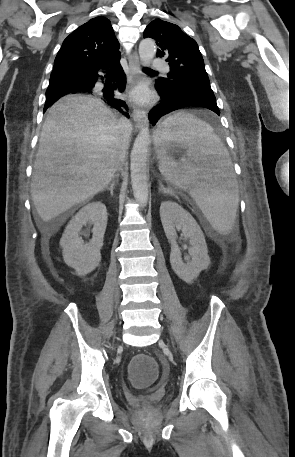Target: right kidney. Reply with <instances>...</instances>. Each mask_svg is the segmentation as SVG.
Listing matches in <instances>:
<instances>
[{
  "mask_svg": "<svg viewBox=\"0 0 295 457\" xmlns=\"http://www.w3.org/2000/svg\"><path fill=\"white\" fill-rule=\"evenodd\" d=\"M87 224L94 225L93 236L89 243H84L80 232ZM106 226L107 209L102 202L87 204L68 223L60 246L65 263L74 268L79 276H85L99 266Z\"/></svg>",
  "mask_w": 295,
  "mask_h": 457,
  "instance_id": "ca27d5eb",
  "label": "right kidney"
}]
</instances>
